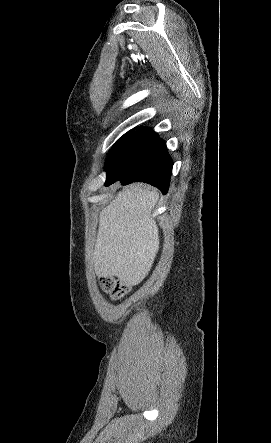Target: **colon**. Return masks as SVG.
<instances>
[{"mask_svg": "<svg viewBox=\"0 0 271 443\" xmlns=\"http://www.w3.org/2000/svg\"><path fill=\"white\" fill-rule=\"evenodd\" d=\"M101 288L114 298L124 297L131 288L128 281L118 277H103L100 279Z\"/></svg>", "mask_w": 271, "mask_h": 443, "instance_id": "colon-1", "label": "colon"}]
</instances>
